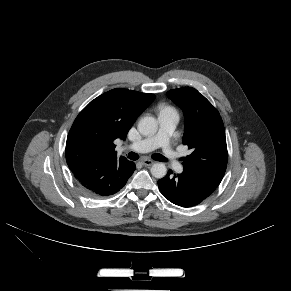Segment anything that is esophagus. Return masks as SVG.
Listing matches in <instances>:
<instances>
[{
	"mask_svg": "<svg viewBox=\"0 0 291 291\" xmlns=\"http://www.w3.org/2000/svg\"><path fill=\"white\" fill-rule=\"evenodd\" d=\"M141 162H142V164L145 165V166H151V165L154 164V161H152V160H150V159H147V158L142 159Z\"/></svg>",
	"mask_w": 291,
	"mask_h": 291,
	"instance_id": "esophagus-1",
	"label": "esophagus"
}]
</instances>
